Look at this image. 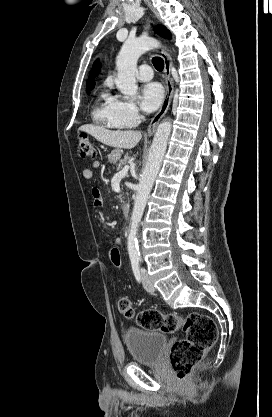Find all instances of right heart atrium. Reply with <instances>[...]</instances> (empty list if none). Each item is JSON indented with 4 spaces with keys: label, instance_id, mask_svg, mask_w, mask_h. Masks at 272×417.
<instances>
[{
    "label": "right heart atrium",
    "instance_id": "right-heart-atrium-1",
    "mask_svg": "<svg viewBox=\"0 0 272 417\" xmlns=\"http://www.w3.org/2000/svg\"><path fill=\"white\" fill-rule=\"evenodd\" d=\"M115 111L119 119L128 126H134L141 120L140 110L132 101L115 99Z\"/></svg>",
    "mask_w": 272,
    "mask_h": 417
}]
</instances>
